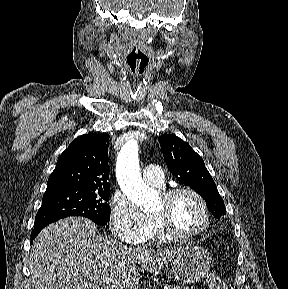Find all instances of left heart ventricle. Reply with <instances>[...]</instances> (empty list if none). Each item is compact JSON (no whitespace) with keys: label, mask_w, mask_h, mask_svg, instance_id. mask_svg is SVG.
<instances>
[{"label":"left heart ventricle","mask_w":288,"mask_h":289,"mask_svg":"<svg viewBox=\"0 0 288 289\" xmlns=\"http://www.w3.org/2000/svg\"><path fill=\"white\" fill-rule=\"evenodd\" d=\"M152 214L165 216L170 226L177 232L188 233L202 222V210L199 203L190 195L183 194L165 206L160 198Z\"/></svg>","instance_id":"1"}]
</instances>
